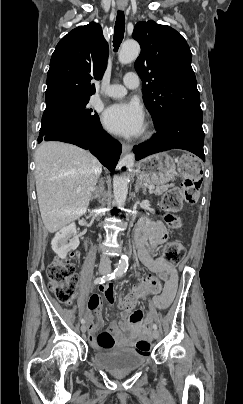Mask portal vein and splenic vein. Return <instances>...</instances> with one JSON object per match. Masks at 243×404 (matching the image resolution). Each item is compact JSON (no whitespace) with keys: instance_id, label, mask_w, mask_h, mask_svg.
Listing matches in <instances>:
<instances>
[{"instance_id":"portal-vein-and-splenic-vein-1","label":"portal vein and splenic vein","mask_w":243,"mask_h":404,"mask_svg":"<svg viewBox=\"0 0 243 404\" xmlns=\"http://www.w3.org/2000/svg\"><path fill=\"white\" fill-rule=\"evenodd\" d=\"M149 190H155V186H148Z\"/></svg>"}]
</instances>
